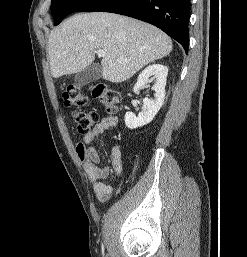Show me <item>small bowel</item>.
<instances>
[{
    "label": "small bowel",
    "mask_w": 247,
    "mask_h": 257,
    "mask_svg": "<svg viewBox=\"0 0 247 257\" xmlns=\"http://www.w3.org/2000/svg\"><path fill=\"white\" fill-rule=\"evenodd\" d=\"M117 123L116 116L104 117L91 131L85 134L82 142H79L75 149L84 171L92 182L96 197L103 202L112 195L114 185L104 182L109 175V168L101 165V158L94 143L102 133L115 127ZM110 158L114 175L119 177L122 173V152L118 145L112 147Z\"/></svg>",
    "instance_id": "1"
}]
</instances>
